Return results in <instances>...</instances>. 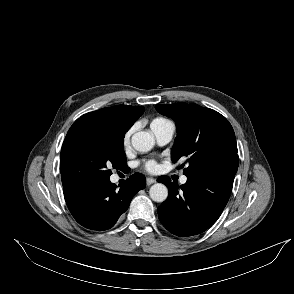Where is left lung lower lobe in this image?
<instances>
[{
	"label": "left lung lower lobe",
	"mask_w": 294,
	"mask_h": 294,
	"mask_svg": "<svg viewBox=\"0 0 294 294\" xmlns=\"http://www.w3.org/2000/svg\"><path fill=\"white\" fill-rule=\"evenodd\" d=\"M238 164V155L225 156L203 173L188 176L181 191L169 177H159L169 189L167 200L158 207L163 226L180 237L200 234L212 226L228 202Z\"/></svg>",
	"instance_id": "1"
}]
</instances>
